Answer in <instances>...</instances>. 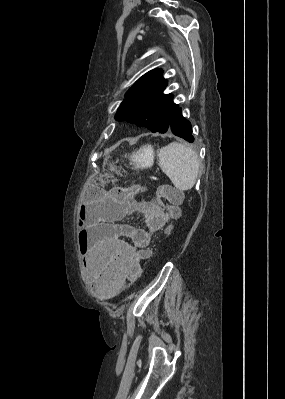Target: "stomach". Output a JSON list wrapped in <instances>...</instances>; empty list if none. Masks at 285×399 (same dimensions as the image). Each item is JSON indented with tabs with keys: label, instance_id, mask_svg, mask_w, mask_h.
<instances>
[{
	"label": "stomach",
	"instance_id": "obj_1",
	"mask_svg": "<svg viewBox=\"0 0 285 399\" xmlns=\"http://www.w3.org/2000/svg\"><path fill=\"white\" fill-rule=\"evenodd\" d=\"M136 168L151 167L154 162V151L152 147L145 146L131 156Z\"/></svg>",
	"mask_w": 285,
	"mask_h": 399
}]
</instances>
